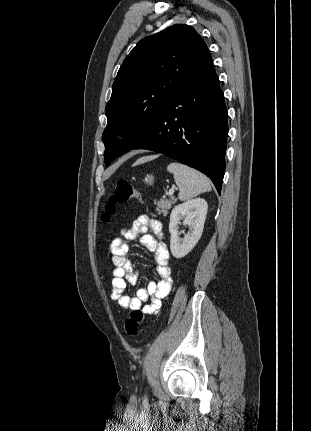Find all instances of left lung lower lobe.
<instances>
[{
  "label": "left lung lower lobe",
  "instance_id": "obj_1",
  "mask_svg": "<svg viewBox=\"0 0 311 431\" xmlns=\"http://www.w3.org/2000/svg\"><path fill=\"white\" fill-rule=\"evenodd\" d=\"M227 135L224 95L208 52L168 104L153 132L133 149L162 153L201 171L220 194Z\"/></svg>",
  "mask_w": 311,
  "mask_h": 431
}]
</instances>
